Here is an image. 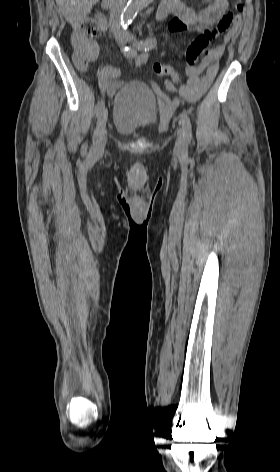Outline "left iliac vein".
Segmentation results:
<instances>
[{
    "label": "left iliac vein",
    "instance_id": "1",
    "mask_svg": "<svg viewBox=\"0 0 280 472\" xmlns=\"http://www.w3.org/2000/svg\"><path fill=\"white\" fill-rule=\"evenodd\" d=\"M129 40H133L134 36H128ZM188 140L184 136V131L182 128H179L177 131V139L175 142V150L180 153H184L187 149Z\"/></svg>",
    "mask_w": 280,
    "mask_h": 472
}]
</instances>
